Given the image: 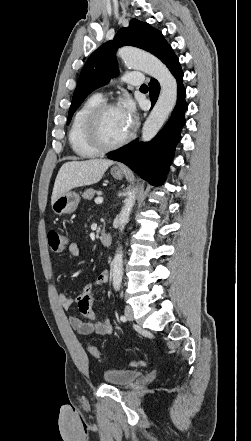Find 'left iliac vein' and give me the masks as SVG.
<instances>
[{"instance_id": "left-iliac-vein-1", "label": "left iliac vein", "mask_w": 251, "mask_h": 441, "mask_svg": "<svg viewBox=\"0 0 251 441\" xmlns=\"http://www.w3.org/2000/svg\"><path fill=\"white\" fill-rule=\"evenodd\" d=\"M125 316L128 320L133 321L134 320V313L131 307L127 306L125 308Z\"/></svg>"}]
</instances>
